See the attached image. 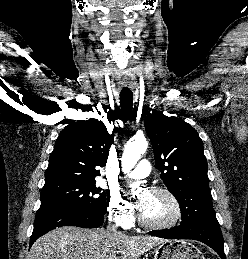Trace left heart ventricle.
I'll return each mask as SVG.
<instances>
[{"mask_svg":"<svg viewBox=\"0 0 248 259\" xmlns=\"http://www.w3.org/2000/svg\"><path fill=\"white\" fill-rule=\"evenodd\" d=\"M144 194L147 195V198L141 210V215L146 221L162 223L168 221L173 216V205L165 195L154 192H146Z\"/></svg>","mask_w":248,"mask_h":259,"instance_id":"b2bd125f","label":"left heart ventricle"}]
</instances>
